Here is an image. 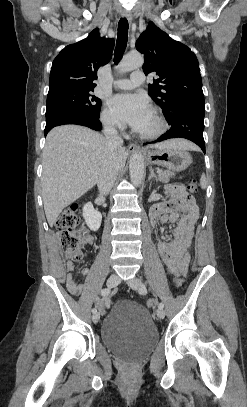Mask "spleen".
<instances>
[{"label": "spleen", "mask_w": 247, "mask_h": 407, "mask_svg": "<svg viewBox=\"0 0 247 407\" xmlns=\"http://www.w3.org/2000/svg\"><path fill=\"white\" fill-rule=\"evenodd\" d=\"M200 186L202 189H205L207 186V180L204 174L200 178Z\"/></svg>", "instance_id": "3e777b00"}]
</instances>
